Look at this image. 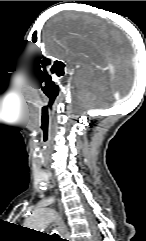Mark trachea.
Returning <instances> with one entry per match:
<instances>
[{
	"label": "trachea",
	"mask_w": 146,
	"mask_h": 241,
	"mask_svg": "<svg viewBox=\"0 0 146 241\" xmlns=\"http://www.w3.org/2000/svg\"><path fill=\"white\" fill-rule=\"evenodd\" d=\"M53 239H54V241H66L65 239L60 238V236L57 234L53 235Z\"/></svg>",
	"instance_id": "1"
}]
</instances>
